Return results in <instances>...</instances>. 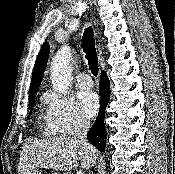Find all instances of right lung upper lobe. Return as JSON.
<instances>
[{
    "mask_svg": "<svg viewBox=\"0 0 175 174\" xmlns=\"http://www.w3.org/2000/svg\"><path fill=\"white\" fill-rule=\"evenodd\" d=\"M48 55H49V44L45 43L43 47L41 48L37 59L36 63L34 65L33 69V74H32V79H31V84H30V97L29 100L35 98V94L37 93L45 68L48 60Z\"/></svg>",
    "mask_w": 175,
    "mask_h": 174,
    "instance_id": "1",
    "label": "right lung upper lobe"
}]
</instances>
